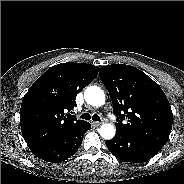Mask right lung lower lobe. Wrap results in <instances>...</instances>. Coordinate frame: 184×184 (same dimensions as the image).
Wrapping results in <instances>:
<instances>
[{
  "mask_svg": "<svg viewBox=\"0 0 184 184\" xmlns=\"http://www.w3.org/2000/svg\"><path fill=\"white\" fill-rule=\"evenodd\" d=\"M91 128L88 123L82 130L66 137L55 138L42 144L29 147L34 155L47 162H61L79 149L85 132Z\"/></svg>",
  "mask_w": 184,
  "mask_h": 184,
  "instance_id": "1",
  "label": "right lung lower lobe"
}]
</instances>
